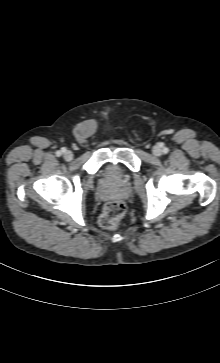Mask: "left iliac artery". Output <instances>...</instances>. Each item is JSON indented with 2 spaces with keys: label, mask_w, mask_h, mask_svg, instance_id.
Listing matches in <instances>:
<instances>
[{
  "label": "left iliac artery",
  "mask_w": 220,
  "mask_h": 363,
  "mask_svg": "<svg viewBox=\"0 0 220 363\" xmlns=\"http://www.w3.org/2000/svg\"><path fill=\"white\" fill-rule=\"evenodd\" d=\"M167 152H168V149H167V148H165V149H164V153H167Z\"/></svg>",
  "instance_id": "left-iliac-artery-1"
}]
</instances>
